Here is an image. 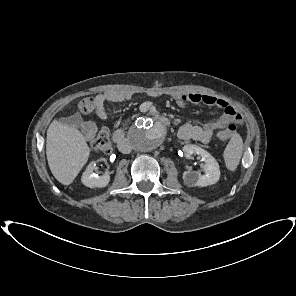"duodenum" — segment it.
I'll return each mask as SVG.
<instances>
[{
	"label": "duodenum",
	"instance_id": "obj_1",
	"mask_svg": "<svg viewBox=\"0 0 296 296\" xmlns=\"http://www.w3.org/2000/svg\"><path fill=\"white\" fill-rule=\"evenodd\" d=\"M154 117L159 123H161L165 126L169 125V119L166 116H164L162 114H155ZM113 141L118 146L120 151H122V152L128 151L129 142L126 139V136H125V133L123 130L119 129L113 133Z\"/></svg>",
	"mask_w": 296,
	"mask_h": 296
}]
</instances>
